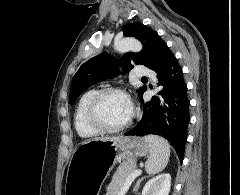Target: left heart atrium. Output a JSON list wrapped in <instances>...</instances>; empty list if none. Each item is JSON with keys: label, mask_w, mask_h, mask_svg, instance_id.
<instances>
[{"label": "left heart atrium", "mask_w": 240, "mask_h": 195, "mask_svg": "<svg viewBox=\"0 0 240 195\" xmlns=\"http://www.w3.org/2000/svg\"><path fill=\"white\" fill-rule=\"evenodd\" d=\"M129 103H130V107H131V110H132V104H131L130 100H129Z\"/></svg>", "instance_id": "obj_1"}]
</instances>
